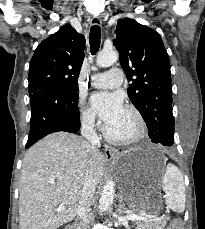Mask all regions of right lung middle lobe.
I'll return each instance as SVG.
<instances>
[{
	"mask_svg": "<svg viewBox=\"0 0 205 229\" xmlns=\"http://www.w3.org/2000/svg\"><path fill=\"white\" fill-rule=\"evenodd\" d=\"M64 89H68L72 93H74L76 96H78V85L77 84H68L65 86Z\"/></svg>",
	"mask_w": 205,
	"mask_h": 229,
	"instance_id": "obj_1",
	"label": "right lung middle lobe"
}]
</instances>
